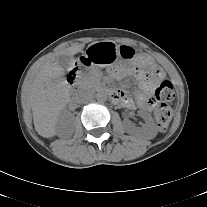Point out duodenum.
I'll return each mask as SVG.
<instances>
[{
    "label": "duodenum",
    "instance_id": "1",
    "mask_svg": "<svg viewBox=\"0 0 207 207\" xmlns=\"http://www.w3.org/2000/svg\"><path fill=\"white\" fill-rule=\"evenodd\" d=\"M78 74H79V69H74V70L70 71L67 75V81H68V83L70 85V89L74 95H78L80 93V88L78 86ZM98 91L102 92V93H107L114 100L116 98L115 91H112L106 87H99Z\"/></svg>",
    "mask_w": 207,
    "mask_h": 207
}]
</instances>
